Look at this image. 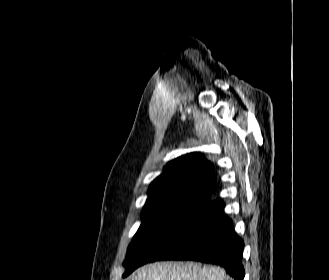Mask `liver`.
<instances>
[{
    "label": "liver",
    "mask_w": 329,
    "mask_h": 280,
    "mask_svg": "<svg viewBox=\"0 0 329 280\" xmlns=\"http://www.w3.org/2000/svg\"><path fill=\"white\" fill-rule=\"evenodd\" d=\"M223 275L219 267L167 261L141 267L131 280H223Z\"/></svg>",
    "instance_id": "6515ba94"
}]
</instances>
